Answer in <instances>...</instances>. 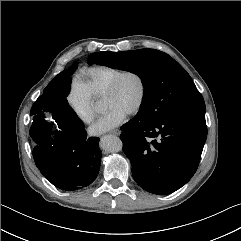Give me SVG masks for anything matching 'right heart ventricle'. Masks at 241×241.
Returning <instances> with one entry per match:
<instances>
[{"instance_id": "1", "label": "right heart ventricle", "mask_w": 241, "mask_h": 241, "mask_svg": "<svg viewBox=\"0 0 241 241\" xmlns=\"http://www.w3.org/2000/svg\"><path fill=\"white\" fill-rule=\"evenodd\" d=\"M122 70L108 65H93L82 69V83L92 97L103 96L112 79Z\"/></svg>"}]
</instances>
